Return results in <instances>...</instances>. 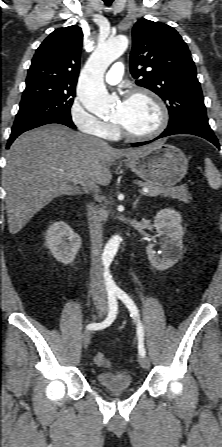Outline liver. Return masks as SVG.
<instances>
[{
    "label": "liver",
    "mask_w": 222,
    "mask_h": 447,
    "mask_svg": "<svg viewBox=\"0 0 222 447\" xmlns=\"http://www.w3.org/2000/svg\"><path fill=\"white\" fill-rule=\"evenodd\" d=\"M146 147L115 149L104 141L62 125H46L20 135L7 152L3 173L8 229L18 233L54 198L81 194L106 186L110 165L121 157L132 158Z\"/></svg>",
    "instance_id": "6515ba94"
}]
</instances>
